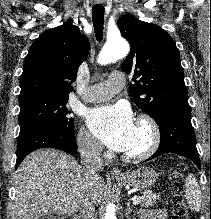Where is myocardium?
Returning <instances> with one entry per match:
<instances>
[{
    "label": "myocardium",
    "instance_id": "1",
    "mask_svg": "<svg viewBox=\"0 0 211 219\" xmlns=\"http://www.w3.org/2000/svg\"><path fill=\"white\" fill-rule=\"evenodd\" d=\"M137 123L147 129L149 133V141L147 145L138 152H125L122 155V158L127 162H140L151 157L158 150L161 143L160 127L151 116L146 114L140 115Z\"/></svg>",
    "mask_w": 211,
    "mask_h": 219
}]
</instances>
